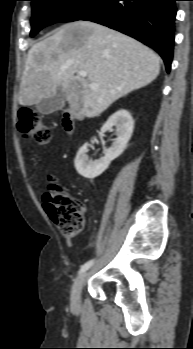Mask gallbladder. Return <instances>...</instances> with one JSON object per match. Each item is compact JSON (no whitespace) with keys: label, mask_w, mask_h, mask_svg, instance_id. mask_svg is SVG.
Wrapping results in <instances>:
<instances>
[{"label":"gallbladder","mask_w":193,"mask_h":349,"mask_svg":"<svg viewBox=\"0 0 193 349\" xmlns=\"http://www.w3.org/2000/svg\"><path fill=\"white\" fill-rule=\"evenodd\" d=\"M65 104V93L62 88L58 89L56 95L50 98H43L36 104V109L43 115H49L55 111L61 110Z\"/></svg>","instance_id":"gallbladder-1"}]
</instances>
